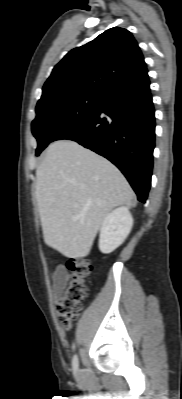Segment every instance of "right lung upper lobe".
<instances>
[{"instance_id":"cb5924a9","label":"right lung upper lobe","mask_w":182,"mask_h":399,"mask_svg":"<svg viewBox=\"0 0 182 399\" xmlns=\"http://www.w3.org/2000/svg\"><path fill=\"white\" fill-rule=\"evenodd\" d=\"M147 79L146 63L133 35L114 27L68 52L45 82L38 102L75 94L105 96Z\"/></svg>"}]
</instances>
